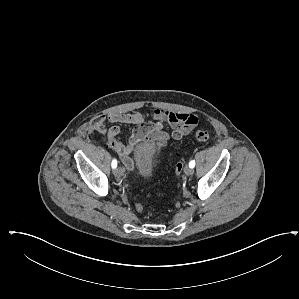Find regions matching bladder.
<instances>
[{
	"label": "bladder",
	"instance_id": "31cf9c89",
	"mask_svg": "<svg viewBox=\"0 0 299 299\" xmlns=\"http://www.w3.org/2000/svg\"><path fill=\"white\" fill-rule=\"evenodd\" d=\"M137 167L136 175L139 178H148L152 176L157 166V159L144 148L136 155Z\"/></svg>",
	"mask_w": 299,
	"mask_h": 299
}]
</instances>
